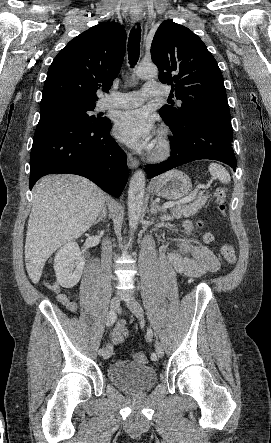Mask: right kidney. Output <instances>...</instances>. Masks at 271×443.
I'll return each instance as SVG.
<instances>
[{
    "mask_svg": "<svg viewBox=\"0 0 271 443\" xmlns=\"http://www.w3.org/2000/svg\"><path fill=\"white\" fill-rule=\"evenodd\" d=\"M85 257L76 241H68L58 249L54 259L56 279L62 287H74L85 265Z\"/></svg>",
    "mask_w": 271,
    "mask_h": 443,
    "instance_id": "ca27d5eb",
    "label": "right kidney"
}]
</instances>
